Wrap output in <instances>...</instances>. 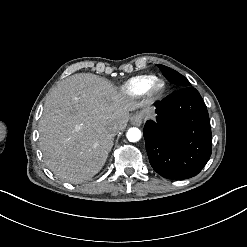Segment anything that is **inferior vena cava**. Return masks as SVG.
I'll use <instances>...</instances> for the list:
<instances>
[{
    "instance_id": "602c4592",
    "label": "inferior vena cava",
    "mask_w": 247,
    "mask_h": 247,
    "mask_svg": "<svg viewBox=\"0 0 247 247\" xmlns=\"http://www.w3.org/2000/svg\"><path fill=\"white\" fill-rule=\"evenodd\" d=\"M108 132H109V136L113 138L115 135H117L120 132V128L118 126L110 127Z\"/></svg>"
}]
</instances>
